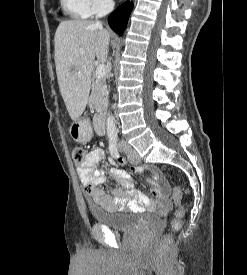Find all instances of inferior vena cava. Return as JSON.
Masks as SVG:
<instances>
[{"mask_svg":"<svg viewBox=\"0 0 247 275\" xmlns=\"http://www.w3.org/2000/svg\"><path fill=\"white\" fill-rule=\"evenodd\" d=\"M98 25H101V22H97ZM108 64H110V62H108Z\"/></svg>","mask_w":247,"mask_h":275,"instance_id":"obj_1","label":"inferior vena cava"}]
</instances>
